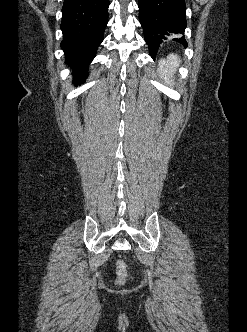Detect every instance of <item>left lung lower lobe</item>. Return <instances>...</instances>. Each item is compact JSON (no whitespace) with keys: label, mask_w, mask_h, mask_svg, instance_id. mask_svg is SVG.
Wrapping results in <instances>:
<instances>
[{"label":"left lung lower lobe","mask_w":247,"mask_h":332,"mask_svg":"<svg viewBox=\"0 0 247 332\" xmlns=\"http://www.w3.org/2000/svg\"><path fill=\"white\" fill-rule=\"evenodd\" d=\"M139 20L149 53L156 56L158 48L169 33H183L186 28L185 0H139ZM187 45L184 37L175 39Z\"/></svg>","instance_id":"left-lung-lower-lobe-1"}]
</instances>
